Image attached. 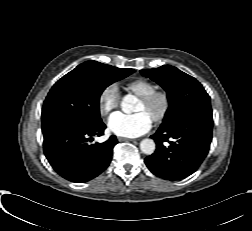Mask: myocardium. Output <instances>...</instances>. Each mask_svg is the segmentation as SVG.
<instances>
[{
    "mask_svg": "<svg viewBox=\"0 0 252 231\" xmlns=\"http://www.w3.org/2000/svg\"><path fill=\"white\" fill-rule=\"evenodd\" d=\"M140 101L147 107H151L156 103H159V109L152 118V121L155 123H161L164 121L170 111L171 98L169 93L165 90L155 89L147 95L141 96Z\"/></svg>",
    "mask_w": 252,
    "mask_h": 231,
    "instance_id": "1",
    "label": "myocardium"
}]
</instances>
